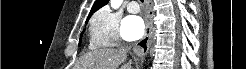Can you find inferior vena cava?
<instances>
[{
    "label": "inferior vena cava",
    "instance_id": "1",
    "mask_svg": "<svg viewBox=\"0 0 246 69\" xmlns=\"http://www.w3.org/2000/svg\"><path fill=\"white\" fill-rule=\"evenodd\" d=\"M122 49H124V50H130V47H122Z\"/></svg>",
    "mask_w": 246,
    "mask_h": 69
}]
</instances>
